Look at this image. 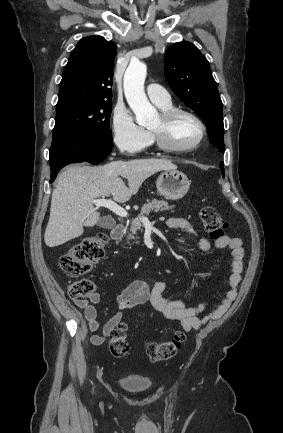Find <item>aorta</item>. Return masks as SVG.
Segmentation results:
<instances>
[{"label":"aorta","mask_w":283,"mask_h":433,"mask_svg":"<svg viewBox=\"0 0 283 433\" xmlns=\"http://www.w3.org/2000/svg\"><path fill=\"white\" fill-rule=\"evenodd\" d=\"M147 67L143 62H131L126 69L123 87L126 100L136 115V122L145 126L157 117V110L147 99L144 91V82Z\"/></svg>","instance_id":"obj_1"}]
</instances>
